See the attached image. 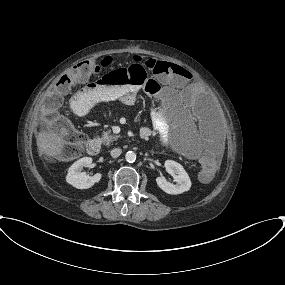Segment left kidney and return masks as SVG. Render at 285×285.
Here are the masks:
<instances>
[{"mask_svg":"<svg viewBox=\"0 0 285 285\" xmlns=\"http://www.w3.org/2000/svg\"><path fill=\"white\" fill-rule=\"evenodd\" d=\"M166 171L173 176L177 184H172L164 176L156 178L157 185L160 189L168 194H181L191 187V180L183 166L173 160L165 161Z\"/></svg>","mask_w":285,"mask_h":285,"instance_id":"5707ae66","label":"left kidney"}]
</instances>
